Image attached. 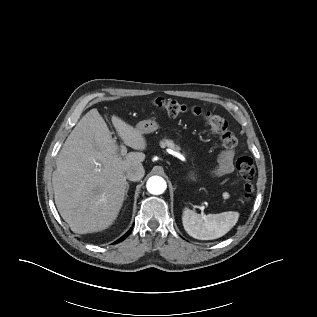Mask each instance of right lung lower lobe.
<instances>
[{
  "label": "right lung lower lobe",
  "instance_id": "obj_1",
  "mask_svg": "<svg viewBox=\"0 0 317 317\" xmlns=\"http://www.w3.org/2000/svg\"><path fill=\"white\" fill-rule=\"evenodd\" d=\"M131 231H132V228L123 237L118 239L115 243H118V242H121L122 240H124L131 233Z\"/></svg>",
  "mask_w": 317,
  "mask_h": 317
}]
</instances>
